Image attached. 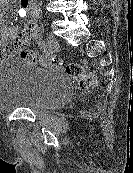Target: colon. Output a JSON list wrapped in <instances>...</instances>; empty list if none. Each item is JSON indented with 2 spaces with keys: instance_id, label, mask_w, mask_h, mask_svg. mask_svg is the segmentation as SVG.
Wrapping results in <instances>:
<instances>
[{
  "instance_id": "obj_1",
  "label": "colon",
  "mask_w": 133,
  "mask_h": 173,
  "mask_svg": "<svg viewBox=\"0 0 133 173\" xmlns=\"http://www.w3.org/2000/svg\"><path fill=\"white\" fill-rule=\"evenodd\" d=\"M24 41L21 38L15 37L9 39L2 49H0V54L5 56H11L19 53L22 58L29 61L40 60L41 57L35 52L24 51L23 50ZM47 64L51 67H61L63 63L58 59L46 60ZM67 75L76 82L78 87L82 90H89L94 88L97 83L96 75L86 70L82 65L77 63L68 64L65 67Z\"/></svg>"
}]
</instances>
